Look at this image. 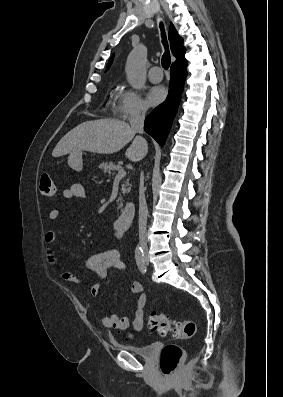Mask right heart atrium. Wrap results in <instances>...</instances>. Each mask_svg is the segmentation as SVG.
Here are the masks:
<instances>
[{
    "label": "right heart atrium",
    "mask_w": 283,
    "mask_h": 397,
    "mask_svg": "<svg viewBox=\"0 0 283 397\" xmlns=\"http://www.w3.org/2000/svg\"><path fill=\"white\" fill-rule=\"evenodd\" d=\"M147 108L135 90L122 86L115 96L112 112L121 119L130 120L145 114Z\"/></svg>",
    "instance_id": "1"
}]
</instances>
